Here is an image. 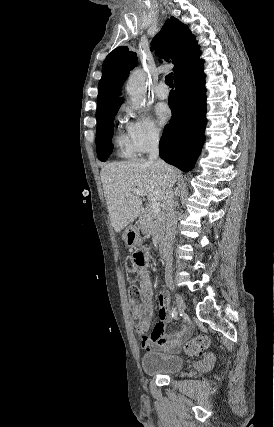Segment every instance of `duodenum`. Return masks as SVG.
Listing matches in <instances>:
<instances>
[{"instance_id": "410a0bca", "label": "duodenum", "mask_w": 274, "mask_h": 427, "mask_svg": "<svg viewBox=\"0 0 274 427\" xmlns=\"http://www.w3.org/2000/svg\"><path fill=\"white\" fill-rule=\"evenodd\" d=\"M158 251H159L161 258L165 260L167 258V249H166V245L164 242H161L159 244Z\"/></svg>"}]
</instances>
